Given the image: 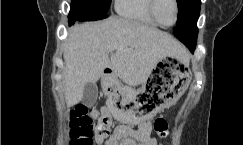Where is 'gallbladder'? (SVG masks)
<instances>
[{
    "label": "gallbladder",
    "mask_w": 243,
    "mask_h": 145,
    "mask_svg": "<svg viewBox=\"0 0 243 145\" xmlns=\"http://www.w3.org/2000/svg\"><path fill=\"white\" fill-rule=\"evenodd\" d=\"M98 97V88L95 83H86L83 92V103L87 106H92Z\"/></svg>",
    "instance_id": "gallbladder-1"
}]
</instances>
